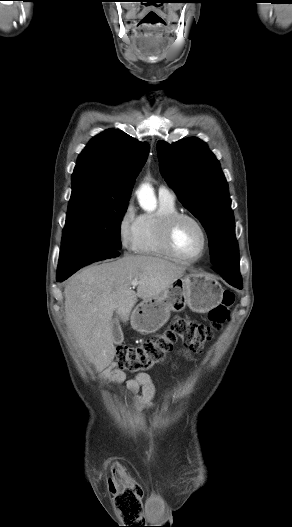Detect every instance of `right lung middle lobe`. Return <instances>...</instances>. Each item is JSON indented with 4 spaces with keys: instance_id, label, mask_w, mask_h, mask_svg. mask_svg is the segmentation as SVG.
<instances>
[{
    "instance_id": "1",
    "label": "right lung middle lobe",
    "mask_w": 292,
    "mask_h": 527,
    "mask_svg": "<svg viewBox=\"0 0 292 527\" xmlns=\"http://www.w3.org/2000/svg\"><path fill=\"white\" fill-rule=\"evenodd\" d=\"M129 198L117 199L92 189L73 188L61 250L104 247L120 250V223Z\"/></svg>"
}]
</instances>
